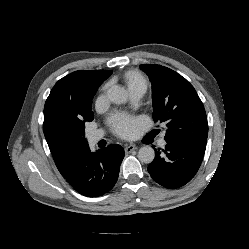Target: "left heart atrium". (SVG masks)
Returning a JSON list of instances; mask_svg holds the SVG:
<instances>
[{"label": "left heart atrium", "instance_id": "obj_1", "mask_svg": "<svg viewBox=\"0 0 249 249\" xmlns=\"http://www.w3.org/2000/svg\"><path fill=\"white\" fill-rule=\"evenodd\" d=\"M109 123L112 125L116 134L125 138L135 136L139 129V123L136 119L121 114H113L109 118Z\"/></svg>", "mask_w": 249, "mask_h": 249}]
</instances>
